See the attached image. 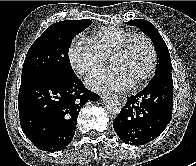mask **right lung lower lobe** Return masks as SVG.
Here are the masks:
<instances>
[{
  "label": "right lung lower lobe",
  "mask_w": 196,
  "mask_h": 166,
  "mask_svg": "<svg viewBox=\"0 0 196 166\" xmlns=\"http://www.w3.org/2000/svg\"><path fill=\"white\" fill-rule=\"evenodd\" d=\"M97 100L99 95L86 91L76 75L71 78L50 73L24 76L18 96L21 128L38 149L62 150L75 135L81 107Z\"/></svg>",
  "instance_id": "right-lung-lower-lobe-1"
}]
</instances>
